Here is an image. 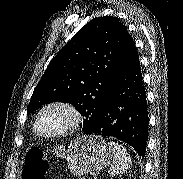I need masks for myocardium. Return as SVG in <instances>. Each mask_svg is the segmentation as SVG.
I'll use <instances>...</instances> for the list:
<instances>
[{"mask_svg": "<svg viewBox=\"0 0 183 179\" xmlns=\"http://www.w3.org/2000/svg\"><path fill=\"white\" fill-rule=\"evenodd\" d=\"M53 108L64 110L69 115V122L65 127H63L58 131H55L52 133H45L41 130V127H40L41 118L47 110L53 109ZM81 120H82L81 112L73 103L67 102V101H54L46 104L39 111L35 121V130L40 136H43V137H47V138L59 137L76 130L79 127Z\"/></svg>", "mask_w": 183, "mask_h": 179, "instance_id": "f54148a6", "label": "myocardium"}]
</instances>
